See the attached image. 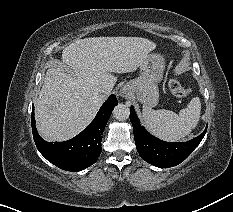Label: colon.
<instances>
[{"label":"colon","mask_w":233,"mask_h":212,"mask_svg":"<svg viewBox=\"0 0 233 212\" xmlns=\"http://www.w3.org/2000/svg\"><path fill=\"white\" fill-rule=\"evenodd\" d=\"M169 89L173 95L181 98L187 97L191 93V90L184 87L176 78H173L169 81Z\"/></svg>","instance_id":"obj_1"}]
</instances>
